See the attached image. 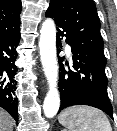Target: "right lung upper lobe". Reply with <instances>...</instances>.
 <instances>
[{
  "instance_id": "obj_1",
  "label": "right lung upper lobe",
  "mask_w": 117,
  "mask_h": 131,
  "mask_svg": "<svg viewBox=\"0 0 117 131\" xmlns=\"http://www.w3.org/2000/svg\"><path fill=\"white\" fill-rule=\"evenodd\" d=\"M21 0H0V40L20 31Z\"/></svg>"
}]
</instances>
